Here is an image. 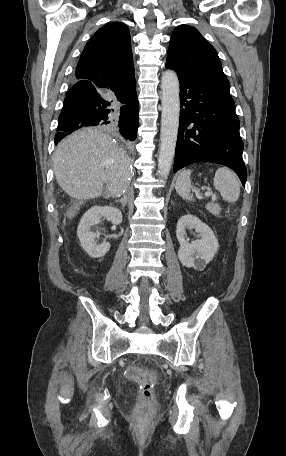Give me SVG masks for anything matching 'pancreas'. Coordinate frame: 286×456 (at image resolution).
<instances>
[{
    "label": "pancreas",
    "mask_w": 286,
    "mask_h": 456,
    "mask_svg": "<svg viewBox=\"0 0 286 456\" xmlns=\"http://www.w3.org/2000/svg\"><path fill=\"white\" fill-rule=\"evenodd\" d=\"M206 209H207L210 213H212L213 215H215V216H218L219 213H220V210H221L220 206H219L218 204H216V203H213V202H212V203H208V204L206 205Z\"/></svg>",
    "instance_id": "pancreas-1"
}]
</instances>
